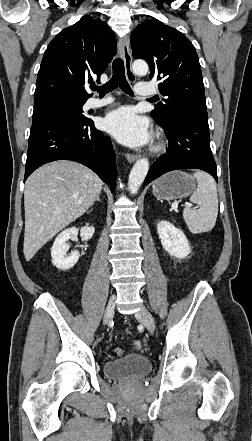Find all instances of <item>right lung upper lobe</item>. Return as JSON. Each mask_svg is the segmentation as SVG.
<instances>
[{
  "instance_id": "1",
  "label": "right lung upper lobe",
  "mask_w": 252,
  "mask_h": 441,
  "mask_svg": "<svg viewBox=\"0 0 252 441\" xmlns=\"http://www.w3.org/2000/svg\"><path fill=\"white\" fill-rule=\"evenodd\" d=\"M116 52L110 27L89 15L63 29L48 45L37 76L34 103L49 99L87 100L84 85L99 81Z\"/></svg>"
}]
</instances>
